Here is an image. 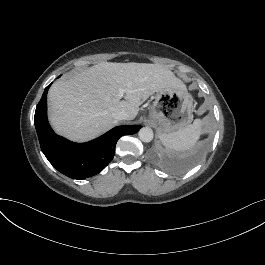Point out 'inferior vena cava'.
I'll use <instances>...</instances> for the list:
<instances>
[{
  "instance_id": "inferior-vena-cava-1",
  "label": "inferior vena cava",
  "mask_w": 265,
  "mask_h": 265,
  "mask_svg": "<svg viewBox=\"0 0 265 265\" xmlns=\"http://www.w3.org/2000/svg\"><path fill=\"white\" fill-rule=\"evenodd\" d=\"M112 117L117 121L128 120L129 114L126 111H116L112 113Z\"/></svg>"
}]
</instances>
